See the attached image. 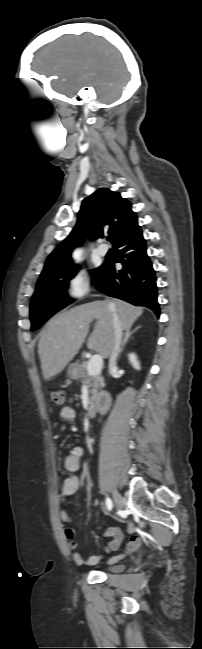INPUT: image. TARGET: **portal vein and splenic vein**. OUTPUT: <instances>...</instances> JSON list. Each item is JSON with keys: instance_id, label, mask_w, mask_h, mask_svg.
<instances>
[{"instance_id": "18ae733b", "label": "portal vein and splenic vein", "mask_w": 202, "mask_h": 649, "mask_svg": "<svg viewBox=\"0 0 202 649\" xmlns=\"http://www.w3.org/2000/svg\"><path fill=\"white\" fill-rule=\"evenodd\" d=\"M103 358L99 354L92 356L87 365V373L89 376L99 374L102 370Z\"/></svg>"}]
</instances>
